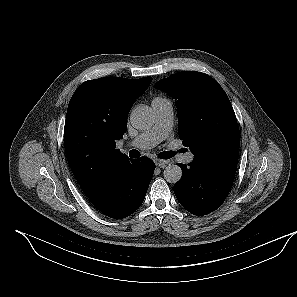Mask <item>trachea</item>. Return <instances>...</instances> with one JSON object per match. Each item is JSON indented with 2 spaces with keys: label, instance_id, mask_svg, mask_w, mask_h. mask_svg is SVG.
<instances>
[{
  "label": "trachea",
  "instance_id": "obj_1",
  "mask_svg": "<svg viewBox=\"0 0 297 297\" xmlns=\"http://www.w3.org/2000/svg\"><path fill=\"white\" fill-rule=\"evenodd\" d=\"M174 155H175V153L173 151H164V152L159 153L158 157L161 159H170ZM129 156L131 158H138L140 156V153H139V151L134 149L129 152Z\"/></svg>",
  "mask_w": 297,
  "mask_h": 297
}]
</instances>
